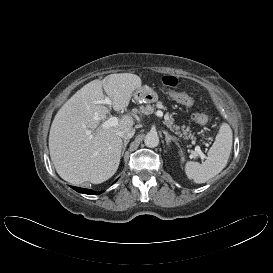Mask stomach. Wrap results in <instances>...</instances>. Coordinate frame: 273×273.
<instances>
[{
	"label": "stomach",
	"instance_id": "obj_1",
	"mask_svg": "<svg viewBox=\"0 0 273 273\" xmlns=\"http://www.w3.org/2000/svg\"><path fill=\"white\" fill-rule=\"evenodd\" d=\"M133 95L139 103H153L157 100L156 93L147 86L139 87Z\"/></svg>",
	"mask_w": 273,
	"mask_h": 273
}]
</instances>
